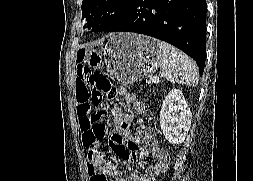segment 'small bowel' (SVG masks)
<instances>
[{
	"label": "small bowel",
	"instance_id": "small-bowel-1",
	"mask_svg": "<svg viewBox=\"0 0 253 181\" xmlns=\"http://www.w3.org/2000/svg\"><path fill=\"white\" fill-rule=\"evenodd\" d=\"M87 77L88 69L82 65L78 66L75 78V96L79 117L84 109L82 100L88 89ZM120 102L132 104L138 112L145 110L144 103L138 100L133 92L124 88L120 90ZM111 116L112 127L109 142L111 153L125 162L148 161L143 172L134 170L124 177L115 162L111 160L95 162L88 159L87 170L90 181H109L107 175L116 181H151L152 178L168 168L169 155L166 150L159 146L149 128L141 127L139 134L132 136L129 131L131 118L120 107H114L111 110Z\"/></svg>",
	"mask_w": 253,
	"mask_h": 181
}]
</instances>
